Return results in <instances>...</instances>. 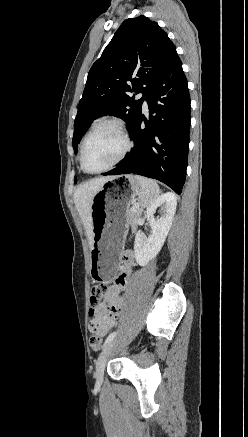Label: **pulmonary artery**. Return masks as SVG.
<instances>
[{
	"label": "pulmonary artery",
	"mask_w": 248,
	"mask_h": 437,
	"mask_svg": "<svg viewBox=\"0 0 248 437\" xmlns=\"http://www.w3.org/2000/svg\"><path fill=\"white\" fill-rule=\"evenodd\" d=\"M138 96H139V98H143V106L146 109L147 108V101H146L144 95L142 93H140Z\"/></svg>",
	"instance_id": "pulmonary-artery-1"
}]
</instances>
